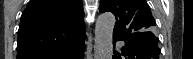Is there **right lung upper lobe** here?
I'll list each match as a JSON object with an SVG mask.
<instances>
[{"label": "right lung upper lobe", "mask_w": 193, "mask_h": 59, "mask_svg": "<svg viewBox=\"0 0 193 59\" xmlns=\"http://www.w3.org/2000/svg\"><path fill=\"white\" fill-rule=\"evenodd\" d=\"M84 38L82 0H30L19 25L17 59H50Z\"/></svg>", "instance_id": "cb5924a9"}]
</instances>
